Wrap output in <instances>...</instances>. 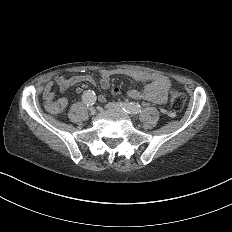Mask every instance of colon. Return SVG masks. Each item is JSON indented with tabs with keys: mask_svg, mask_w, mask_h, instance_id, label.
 Here are the masks:
<instances>
[{
	"mask_svg": "<svg viewBox=\"0 0 232 232\" xmlns=\"http://www.w3.org/2000/svg\"><path fill=\"white\" fill-rule=\"evenodd\" d=\"M171 102L167 103L168 107H174L173 113H180V108H185L184 94H180V90H175V94H171ZM45 104H52L49 106L50 113H66L67 105H64L63 99L60 96H47L44 100Z\"/></svg>",
	"mask_w": 232,
	"mask_h": 232,
	"instance_id": "1",
	"label": "colon"
}]
</instances>
